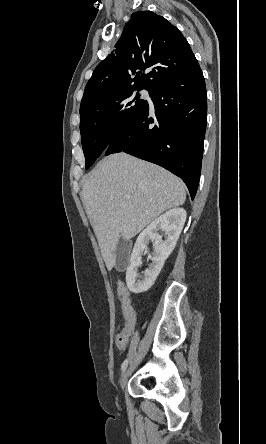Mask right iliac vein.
I'll return each instance as SVG.
<instances>
[{
    "instance_id": "obj_1",
    "label": "right iliac vein",
    "mask_w": 266,
    "mask_h": 444,
    "mask_svg": "<svg viewBox=\"0 0 266 444\" xmlns=\"http://www.w3.org/2000/svg\"><path fill=\"white\" fill-rule=\"evenodd\" d=\"M130 375V369L126 368L121 376V380H120V386L121 389L124 390L128 381Z\"/></svg>"
}]
</instances>
